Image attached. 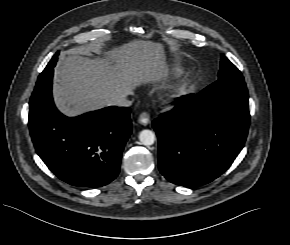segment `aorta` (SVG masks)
Here are the masks:
<instances>
[{"label":"aorta","mask_w":290,"mask_h":245,"mask_svg":"<svg viewBox=\"0 0 290 245\" xmlns=\"http://www.w3.org/2000/svg\"><path fill=\"white\" fill-rule=\"evenodd\" d=\"M156 140L155 133L151 130L145 129L139 133V141L142 145L151 146Z\"/></svg>","instance_id":"aorta-1"}]
</instances>
